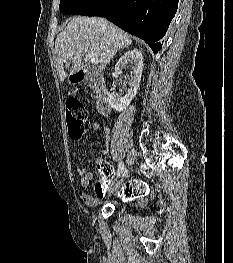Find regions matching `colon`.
<instances>
[{
  "label": "colon",
  "instance_id": "1",
  "mask_svg": "<svg viewBox=\"0 0 233 263\" xmlns=\"http://www.w3.org/2000/svg\"><path fill=\"white\" fill-rule=\"evenodd\" d=\"M66 121L69 136L74 141H80L88 130V114L85 107L76 99L66 103ZM99 182L95 184V195H122L121 201L127 202L126 208H132L129 199H147V194H140L148 190L147 183L141 182V178H128V186L124 190H107L110 180H113V171H98ZM127 195V196H126Z\"/></svg>",
  "mask_w": 233,
  "mask_h": 263
}]
</instances>
